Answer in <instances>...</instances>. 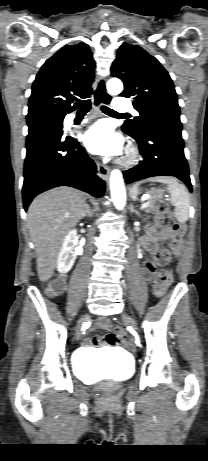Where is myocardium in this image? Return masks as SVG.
Instances as JSON below:
<instances>
[{"label": "myocardium", "instance_id": "1", "mask_svg": "<svg viewBox=\"0 0 208 461\" xmlns=\"http://www.w3.org/2000/svg\"><path fill=\"white\" fill-rule=\"evenodd\" d=\"M137 158L136 151L133 148H129L125 154V156L121 159L120 163L128 166L135 163Z\"/></svg>", "mask_w": 208, "mask_h": 461}]
</instances>
